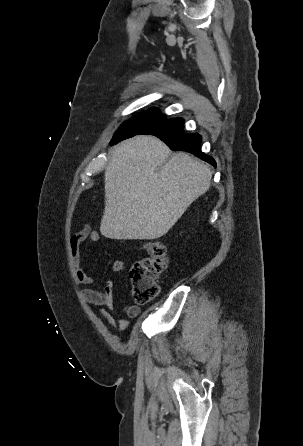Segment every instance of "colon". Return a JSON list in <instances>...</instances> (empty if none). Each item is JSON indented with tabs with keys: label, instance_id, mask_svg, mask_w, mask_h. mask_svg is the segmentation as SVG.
<instances>
[{
	"label": "colon",
	"instance_id": "obj_1",
	"mask_svg": "<svg viewBox=\"0 0 303 446\" xmlns=\"http://www.w3.org/2000/svg\"><path fill=\"white\" fill-rule=\"evenodd\" d=\"M148 254L136 262L129 272L132 296L139 304H146L154 300L160 293L157 280L167 268L169 261L165 245L160 241L150 240L142 245Z\"/></svg>",
	"mask_w": 303,
	"mask_h": 446
}]
</instances>
